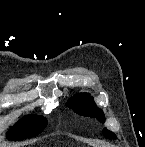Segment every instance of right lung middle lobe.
Instances as JSON below:
<instances>
[{
	"label": "right lung middle lobe",
	"mask_w": 145,
	"mask_h": 147,
	"mask_svg": "<svg viewBox=\"0 0 145 147\" xmlns=\"http://www.w3.org/2000/svg\"><path fill=\"white\" fill-rule=\"evenodd\" d=\"M47 124L43 116L28 115L21 119L7 134L11 140H22L37 136Z\"/></svg>",
	"instance_id": "dd1d6c3e"
}]
</instances>
